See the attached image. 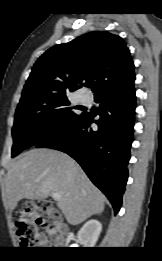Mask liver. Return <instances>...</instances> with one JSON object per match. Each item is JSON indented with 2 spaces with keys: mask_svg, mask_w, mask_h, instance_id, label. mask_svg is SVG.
<instances>
[{
  "mask_svg": "<svg viewBox=\"0 0 162 261\" xmlns=\"http://www.w3.org/2000/svg\"><path fill=\"white\" fill-rule=\"evenodd\" d=\"M59 193L58 208L67 222L78 225L105 207V196L67 154L32 149L21 155L6 176L5 199L13 211L22 199L46 198Z\"/></svg>",
  "mask_w": 162,
  "mask_h": 261,
  "instance_id": "liver-1",
  "label": "liver"
}]
</instances>
